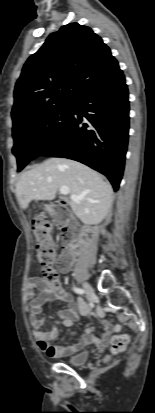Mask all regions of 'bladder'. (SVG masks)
<instances>
[{"label":"bladder","instance_id":"bladder-1","mask_svg":"<svg viewBox=\"0 0 155 413\" xmlns=\"http://www.w3.org/2000/svg\"><path fill=\"white\" fill-rule=\"evenodd\" d=\"M89 353L87 351H81L66 359V363L72 366H81L86 363Z\"/></svg>","mask_w":155,"mask_h":413}]
</instances>
